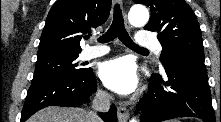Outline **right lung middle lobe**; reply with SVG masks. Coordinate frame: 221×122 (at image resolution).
I'll list each match as a JSON object with an SVG mask.
<instances>
[{
	"label": "right lung middle lobe",
	"instance_id": "1",
	"mask_svg": "<svg viewBox=\"0 0 221 122\" xmlns=\"http://www.w3.org/2000/svg\"><path fill=\"white\" fill-rule=\"evenodd\" d=\"M76 55H59L37 59L32 82L83 75L87 69L80 68Z\"/></svg>",
	"mask_w": 221,
	"mask_h": 122
}]
</instances>
